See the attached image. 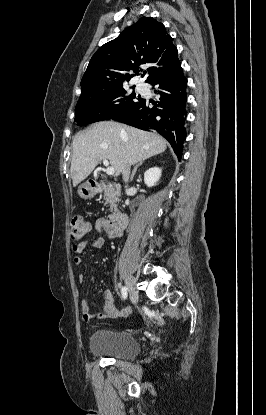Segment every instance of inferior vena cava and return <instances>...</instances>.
<instances>
[{
    "label": "inferior vena cava",
    "mask_w": 266,
    "mask_h": 415,
    "mask_svg": "<svg viewBox=\"0 0 266 415\" xmlns=\"http://www.w3.org/2000/svg\"><path fill=\"white\" fill-rule=\"evenodd\" d=\"M122 175H123V180H124L125 182H128V180H129V175H130V165H126V166L124 167L123 172H122Z\"/></svg>",
    "instance_id": "obj_1"
}]
</instances>
